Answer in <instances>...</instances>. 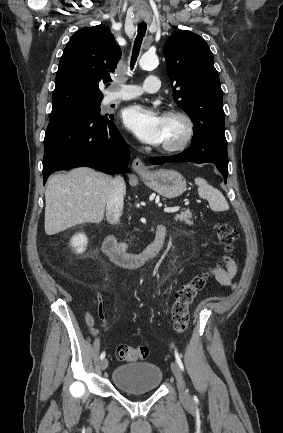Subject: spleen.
<instances>
[{"label":"spleen","instance_id":"3e777b00","mask_svg":"<svg viewBox=\"0 0 283 433\" xmlns=\"http://www.w3.org/2000/svg\"><path fill=\"white\" fill-rule=\"evenodd\" d=\"M195 184L198 186L199 196L207 198L212 210H216V212L218 210H228L229 204L218 188H214V186L208 184L205 178H200V176L195 178Z\"/></svg>","mask_w":283,"mask_h":433}]
</instances>
